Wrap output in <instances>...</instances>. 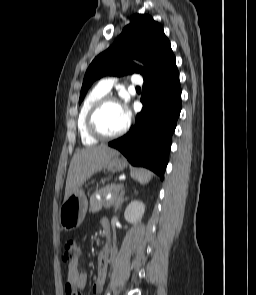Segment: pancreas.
<instances>
[{
	"label": "pancreas",
	"mask_w": 256,
	"mask_h": 295,
	"mask_svg": "<svg viewBox=\"0 0 256 295\" xmlns=\"http://www.w3.org/2000/svg\"><path fill=\"white\" fill-rule=\"evenodd\" d=\"M122 186L121 185H110V186H106L104 188H101L99 190H97L91 197H90V208L89 211L96 213L98 211H100L102 208H108L110 205L108 204V201H102V200H98L96 198L97 194L100 195H106L108 193H112V198L114 199L120 188Z\"/></svg>",
	"instance_id": "1"
}]
</instances>
